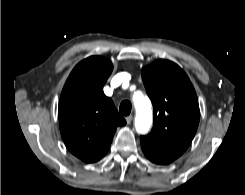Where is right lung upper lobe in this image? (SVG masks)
<instances>
[{
    "label": "right lung upper lobe",
    "mask_w": 245,
    "mask_h": 195,
    "mask_svg": "<svg viewBox=\"0 0 245 195\" xmlns=\"http://www.w3.org/2000/svg\"><path fill=\"white\" fill-rule=\"evenodd\" d=\"M112 63L91 56L76 65L59 101V126L67 149L84 162L99 161L109 150L118 126L126 124L103 86Z\"/></svg>",
    "instance_id": "cb5924a9"
}]
</instances>
